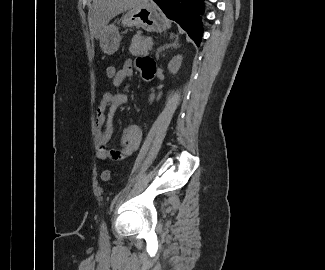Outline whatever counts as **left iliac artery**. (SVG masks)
I'll return each instance as SVG.
<instances>
[{"instance_id":"left-iliac-artery-1","label":"left iliac artery","mask_w":325,"mask_h":270,"mask_svg":"<svg viewBox=\"0 0 325 270\" xmlns=\"http://www.w3.org/2000/svg\"><path fill=\"white\" fill-rule=\"evenodd\" d=\"M100 233H101V236L103 238H107L108 237L107 226H106V223L104 221L101 223Z\"/></svg>"}]
</instances>
